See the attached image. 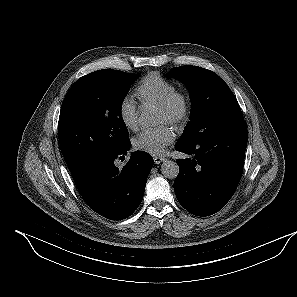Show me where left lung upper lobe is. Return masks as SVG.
Wrapping results in <instances>:
<instances>
[{"mask_svg": "<svg viewBox=\"0 0 297 297\" xmlns=\"http://www.w3.org/2000/svg\"><path fill=\"white\" fill-rule=\"evenodd\" d=\"M166 77L190 91V121L178 142L196 143L213 132L244 123L240 106L228 85L214 72L198 66L172 68Z\"/></svg>", "mask_w": 297, "mask_h": 297, "instance_id": "obj_1", "label": "left lung upper lobe"}]
</instances>
